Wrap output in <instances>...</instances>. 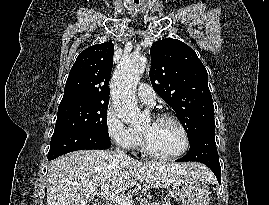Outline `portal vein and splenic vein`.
<instances>
[{
  "label": "portal vein and splenic vein",
  "instance_id": "portal-vein-and-splenic-vein-1",
  "mask_svg": "<svg viewBox=\"0 0 269 205\" xmlns=\"http://www.w3.org/2000/svg\"><path fill=\"white\" fill-rule=\"evenodd\" d=\"M100 195L107 200L113 201L118 205H133L131 197L111 192L107 184L101 186Z\"/></svg>",
  "mask_w": 269,
  "mask_h": 205
}]
</instances>
